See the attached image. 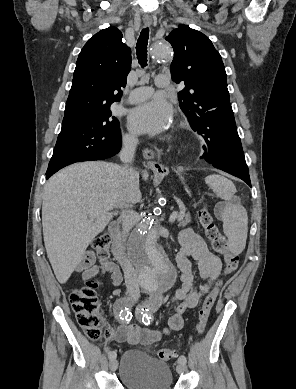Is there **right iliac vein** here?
Returning a JSON list of instances; mask_svg holds the SVG:
<instances>
[{"mask_svg":"<svg viewBox=\"0 0 296 389\" xmlns=\"http://www.w3.org/2000/svg\"><path fill=\"white\" fill-rule=\"evenodd\" d=\"M109 366H110V369L112 371H115L117 369L118 363H117L116 358H111L110 359Z\"/></svg>","mask_w":296,"mask_h":389,"instance_id":"obj_1","label":"right iliac vein"}]
</instances>
